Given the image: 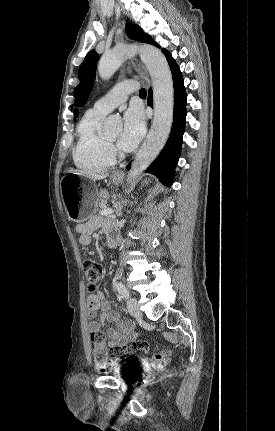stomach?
<instances>
[{"label": "stomach", "instance_id": "obj_1", "mask_svg": "<svg viewBox=\"0 0 275 431\" xmlns=\"http://www.w3.org/2000/svg\"><path fill=\"white\" fill-rule=\"evenodd\" d=\"M89 177L68 173L61 179L60 191L68 218L77 223L88 220L97 205L96 191L87 187L84 181ZM121 177L112 176V183L117 185Z\"/></svg>", "mask_w": 275, "mask_h": 431}]
</instances>
